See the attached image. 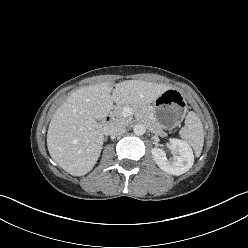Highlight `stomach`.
<instances>
[{
	"label": "stomach",
	"mask_w": 248,
	"mask_h": 248,
	"mask_svg": "<svg viewBox=\"0 0 248 248\" xmlns=\"http://www.w3.org/2000/svg\"><path fill=\"white\" fill-rule=\"evenodd\" d=\"M187 111V103L182 92L170 88L157 97L152 104V117L164 129L178 125Z\"/></svg>",
	"instance_id": "obj_1"
}]
</instances>
